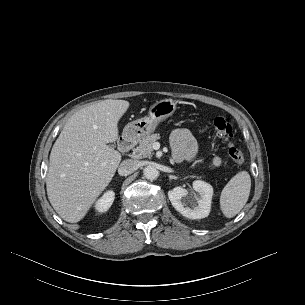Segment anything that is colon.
I'll list each match as a JSON object with an SVG mask.
<instances>
[{"label":"colon","mask_w":305,"mask_h":305,"mask_svg":"<svg viewBox=\"0 0 305 305\" xmlns=\"http://www.w3.org/2000/svg\"><path fill=\"white\" fill-rule=\"evenodd\" d=\"M213 125L216 135L226 142L230 158L238 167L242 166L244 163V155L235 144L231 124L225 118L217 117L214 119Z\"/></svg>","instance_id":"5ec220e1"}]
</instances>
